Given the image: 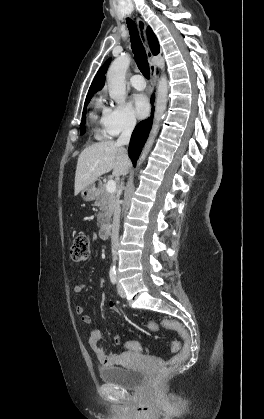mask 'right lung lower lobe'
I'll use <instances>...</instances> for the list:
<instances>
[{
  "instance_id": "1",
  "label": "right lung lower lobe",
  "mask_w": 264,
  "mask_h": 419,
  "mask_svg": "<svg viewBox=\"0 0 264 419\" xmlns=\"http://www.w3.org/2000/svg\"><path fill=\"white\" fill-rule=\"evenodd\" d=\"M151 102L153 103V97L151 99ZM153 112H154V107L152 108L151 117H149L148 119L144 121L139 122L132 133L129 148H128V153L133 162V165L136 164V160L138 159L142 151V148L146 142V139L149 135V131L151 129L152 121H153Z\"/></svg>"
}]
</instances>
